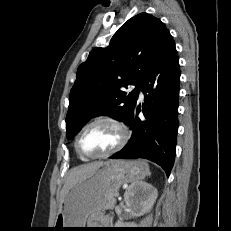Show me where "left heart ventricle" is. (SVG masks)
<instances>
[{
	"mask_svg": "<svg viewBox=\"0 0 231 231\" xmlns=\"http://www.w3.org/2000/svg\"><path fill=\"white\" fill-rule=\"evenodd\" d=\"M118 129L110 123L88 127L80 138V149L86 155H98L112 149L119 141Z\"/></svg>",
	"mask_w": 231,
	"mask_h": 231,
	"instance_id": "1",
	"label": "left heart ventricle"
}]
</instances>
